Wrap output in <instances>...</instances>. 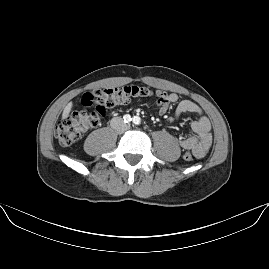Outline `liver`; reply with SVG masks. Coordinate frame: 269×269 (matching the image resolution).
Returning <instances> with one entry per match:
<instances>
[{
  "label": "liver",
  "mask_w": 269,
  "mask_h": 269,
  "mask_svg": "<svg viewBox=\"0 0 269 269\" xmlns=\"http://www.w3.org/2000/svg\"><path fill=\"white\" fill-rule=\"evenodd\" d=\"M72 108V102H69L66 107L63 110V114H62V118L65 119L66 117H68L70 111Z\"/></svg>",
  "instance_id": "liver-1"
}]
</instances>
